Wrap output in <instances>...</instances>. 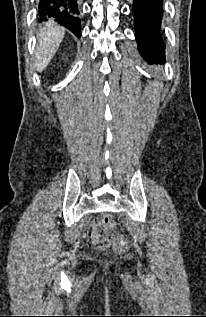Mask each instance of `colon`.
Wrapping results in <instances>:
<instances>
[{"instance_id":"5ec220e1","label":"colon","mask_w":206,"mask_h":317,"mask_svg":"<svg viewBox=\"0 0 206 317\" xmlns=\"http://www.w3.org/2000/svg\"><path fill=\"white\" fill-rule=\"evenodd\" d=\"M89 244L97 250L112 247L117 253H124L128 249V242L121 234L114 231V220L105 215L89 233Z\"/></svg>"}]
</instances>
